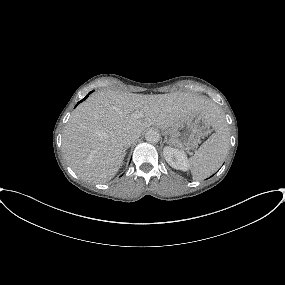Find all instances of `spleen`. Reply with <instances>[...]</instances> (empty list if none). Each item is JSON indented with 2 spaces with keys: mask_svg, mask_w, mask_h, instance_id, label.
I'll use <instances>...</instances> for the list:
<instances>
[{
  "mask_svg": "<svg viewBox=\"0 0 285 285\" xmlns=\"http://www.w3.org/2000/svg\"><path fill=\"white\" fill-rule=\"evenodd\" d=\"M213 133L189 160L193 179L201 180L212 175L221 166L230 147V134L223 114L218 111Z\"/></svg>",
  "mask_w": 285,
  "mask_h": 285,
  "instance_id": "3e777b00",
  "label": "spleen"
}]
</instances>
